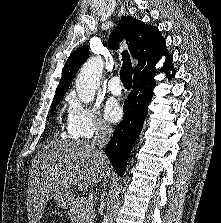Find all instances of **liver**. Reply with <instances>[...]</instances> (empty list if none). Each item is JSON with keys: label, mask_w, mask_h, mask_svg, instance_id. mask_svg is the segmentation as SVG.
Here are the masks:
<instances>
[{"label": "liver", "mask_w": 221, "mask_h": 223, "mask_svg": "<svg viewBox=\"0 0 221 223\" xmlns=\"http://www.w3.org/2000/svg\"><path fill=\"white\" fill-rule=\"evenodd\" d=\"M110 172L106 157L89 141L56 140L40 150L28 179L29 223H39L47 202L78 184L80 190L97 186Z\"/></svg>", "instance_id": "obj_1"}]
</instances>
